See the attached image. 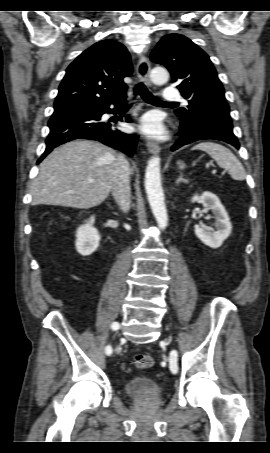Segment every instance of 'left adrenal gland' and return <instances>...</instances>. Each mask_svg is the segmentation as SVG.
<instances>
[{"label":"left adrenal gland","instance_id":"obj_1","mask_svg":"<svg viewBox=\"0 0 270 453\" xmlns=\"http://www.w3.org/2000/svg\"><path fill=\"white\" fill-rule=\"evenodd\" d=\"M183 182V183H188V180L183 178V173H180L179 178L176 180V184Z\"/></svg>","mask_w":270,"mask_h":453}]
</instances>
